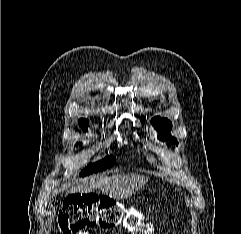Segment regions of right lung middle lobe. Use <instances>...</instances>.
<instances>
[{
	"mask_svg": "<svg viewBox=\"0 0 241 234\" xmlns=\"http://www.w3.org/2000/svg\"><path fill=\"white\" fill-rule=\"evenodd\" d=\"M78 145V144H77ZM81 145V143H79ZM116 158L114 156H107L103 160L96 162L94 164H89L85 169L80 172V176L84 177L92 173H97L98 171L105 170L114 165Z\"/></svg>",
	"mask_w": 241,
	"mask_h": 234,
	"instance_id": "obj_1",
	"label": "right lung middle lobe"
}]
</instances>
